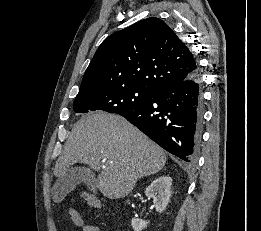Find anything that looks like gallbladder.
<instances>
[{"mask_svg":"<svg viewBox=\"0 0 261 231\" xmlns=\"http://www.w3.org/2000/svg\"><path fill=\"white\" fill-rule=\"evenodd\" d=\"M94 181V174L88 168L72 167L65 175L58 178L53 190L54 200L61 201L80 183H85L89 188H93Z\"/></svg>","mask_w":261,"mask_h":231,"instance_id":"1","label":"gallbladder"}]
</instances>
